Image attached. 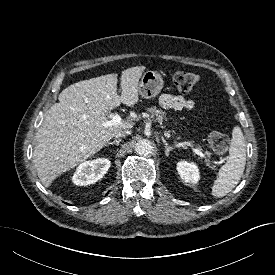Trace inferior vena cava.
Masks as SVG:
<instances>
[{"label":"inferior vena cava","instance_id":"inferior-vena-cava-1","mask_svg":"<svg viewBox=\"0 0 275 275\" xmlns=\"http://www.w3.org/2000/svg\"><path fill=\"white\" fill-rule=\"evenodd\" d=\"M131 134V130L129 129H124V130H121L119 131L114 137L115 138H119V137H125L127 135Z\"/></svg>","mask_w":275,"mask_h":275}]
</instances>
